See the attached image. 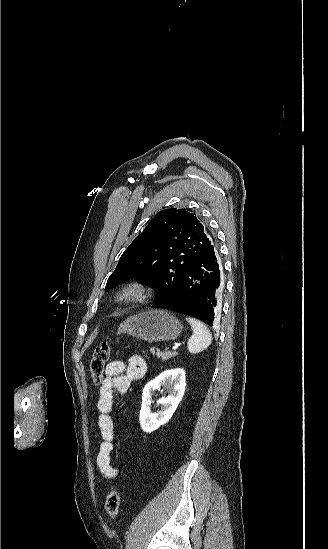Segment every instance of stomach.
<instances>
[{
	"mask_svg": "<svg viewBox=\"0 0 328 549\" xmlns=\"http://www.w3.org/2000/svg\"><path fill=\"white\" fill-rule=\"evenodd\" d=\"M183 331V325L164 309H150L128 317L119 325L118 333H126L147 343L174 341Z\"/></svg>",
	"mask_w": 328,
	"mask_h": 549,
	"instance_id": "1",
	"label": "stomach"
}]
</instances>
